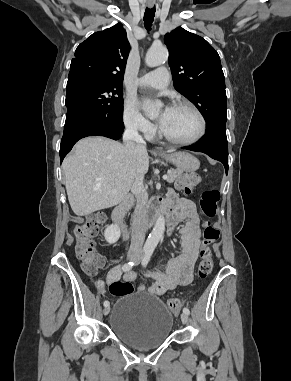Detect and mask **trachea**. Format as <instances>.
<instances>
[{
  "label": "trachea",
  "instance_id": "trachea-1",
  "mask_svg": "<svg viewBox=\"0 0 291 381\" xmlns=\"http://www.w3.org/2000/svg\"><path fill=\"white\" fill-rule=\"evenodd\" d=\"M155 16V7L146 8L144 13V25L147 30H150Z\"/></svg>",
  "mask_w": 291,
  "mask_h": 381
}]
</instances>
